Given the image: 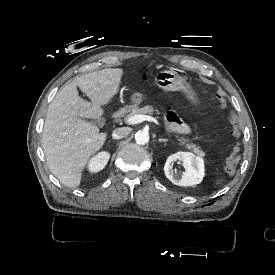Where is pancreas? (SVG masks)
I'll return each mask as SVG.
<instances>
[{"mask_svg": "<svg viewBox=\"0 0 275 275\" xmlns=\"http://www.w3.org/2000/svg\"><path fill=\"white\" fill-rule=\"evenodd\" d=\"M155 111L158 114L161 113L158 108H156V107L154 108V106H152V105H147L143 108L132 109L130 114L126 113L122 109L119 110L116 114L119 117H126V116H134V115H139V114H153ZM175 136H176V138H178L179 146H184L185 149H188L191 152L196 153L198 155V157H200L201 159H204L205 152L202 150L200 145H196L189 138H185L183 136L180 137L179 133H176Z\"/></svg>", "mask_w": 275, "mask_h": 275, "instance_id": "cf45deb5", "label": "pancreas"}]
</instances>
